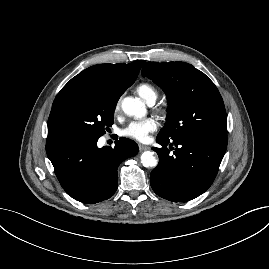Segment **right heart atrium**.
I'll use <instances>...</instances> for the list:
<instances>
[{
  "label": "right heart atrium",
  "mask_w": 269,
  "mask_h": 269,
  "mask_svg": "<svg viewBox=\"0 0 269 269\" xmlns=\"http://www.w3.org/2000/svg\"><path fill=\"white\" fill-rule=\"evenodd\" d=\"M120 103H121V100L120 98L116 101L115 105H114V113L117 114L120 110Z\"/></svg>",
  "instance_id": "d8ad5b80"
}]
</instances>
